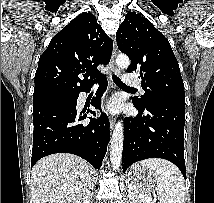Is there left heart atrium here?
<instances>
[{
    "instance_id": "left-heart-atrium-1",
    "label": "left heart atrium",
    "mask_w": 214,
    "mask_h": 203,
    "mask_svg": "<svg viewBox=\"0 0 214 203\" xmlns=\"http://www.w3.org/2000/svg\"><path fill=\"white\" fill-rule=\"evenodd\" d=\"M107 111H109L111 113H117L119 111V103L117 101H115V100L112 101L107 106Z\"/></svg>"
}]
</instances>
